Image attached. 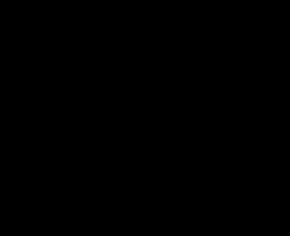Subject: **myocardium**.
Instances as JSON below:
<instances>
[{
  "instance_id": "f54148a6",
  "label": "myocardium",
  "mask_w": 290,
  "mask_h": 236,
  "mask_svg": "<svg viewBox=\"0 0 290 236\" xmlns=\"http://www.w3.org/2000/svg\"><path fill=\"white\" fill-rule=\"evenodd\" d=\"M177 67L178 66L174 65L169 70V72L166 74V76L156 85V87L154 89V97L161 95L163 92H165L171 86L172 77H173V74H174L175 70L177 69ZM198 94H199V85L197 87V91H196V94H195L193 101L190 103V105L187 107V109H185V111H183L181 114H179L177 116L178 118L186 115L191 110L192 106L194 105V102L196 101Z\"/></svg>"
}]
</instances>
